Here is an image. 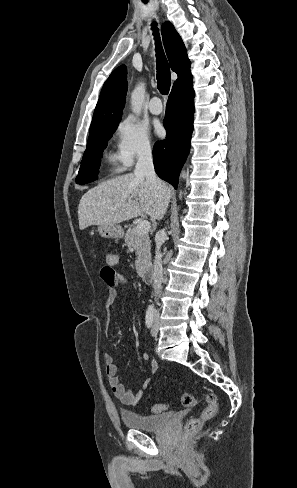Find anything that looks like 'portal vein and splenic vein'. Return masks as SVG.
I'll use <instances>...</instances> for the list:
<instances>
[{
  "mask_svg": "<svg viewBox=\"0 0 297 488\" xmlns=\"http://www.w3.org/2000/svg\"><path fill=\"white\" fill-rule=\"evenodd\" d=\"M136 229H137V233H139V234H146V233H148L150 231L151 224H150L149 221L143 220V221H140L137 224Z\"/></svg>",
  "mask_w": 297,
  "mask_h": 488,
  "instance_id": "1",
  "label": "portal vein and splenic vein"
}]
</instances>
